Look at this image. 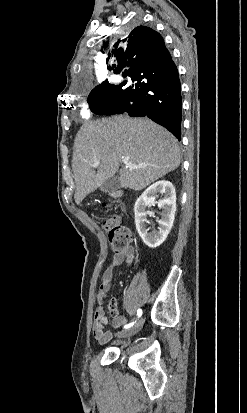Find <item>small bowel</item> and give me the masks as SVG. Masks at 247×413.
I'll list each match as a JSON object with an SVG mask.
<instances>
[{
	"instance_id": "small-bowel-1",
	"label": "small bowel",
	"mask_w": 247,
	"mask_h": 413,
	"mask_svg": "<svg viewBox=\"0 0 247 413\" xmlns=\"http://www.w3.org/2000/svg\"><path fill=\"white\" fill-rule=\"evenodd\" d=\"M123 261H125L129 267L133 266L135 263V251L133 248L129 247L122 252H116L113 254L110 263L103 272L100 288L96 295V309L94 312L92 334L96 341L101 345L107 344L112 338L111 333L105 329V325L107 323V319L105 317V303L111 288V283L113 281L116 268ZM108 311L112 316V324L114 327H120L126 323V319L119 314L116 298H111L109 300Z\"/></svg>"
}]
</instances>
